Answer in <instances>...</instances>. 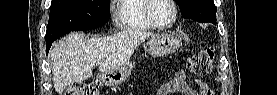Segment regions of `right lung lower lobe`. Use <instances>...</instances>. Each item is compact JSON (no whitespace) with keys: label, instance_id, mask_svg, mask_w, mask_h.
<instances>
[{"label":"right lung lower lobe","instance_id":"right-lung-lower-lobe-1","mask_svg":"<svg viewBox=\"0 0 277 95\" xmlns=\"http://www.w3.org/2000/svg\"><path fill=\"white\" fill-rule=\"evenodd\" d=\"M53 41H46V53L48 54V51L52 45Z\"/></svg>","mask_w":277,"mask_h":95}]
</instances>
